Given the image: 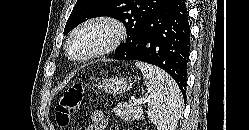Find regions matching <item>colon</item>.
I'll use <instances>...</instances> for the list:
<instances>
[{
    "mask_svg": "<svg viewBox=\"0 0 249 130\" xmlns=\"http://www.w3.org/2000/svg\"><path fill=\"white\" fill-rule=\"evenodd\" d=\"M83 95V85L76 83L65 90L60 96L55 106V119L59 126L66 127L69 125L73 112L82 102Z\"/></svg>",
    "mask_w": 249,
    "mask_h": 130,
    "instance_id": "1",
    "label": "colon"
}]
</instances>
